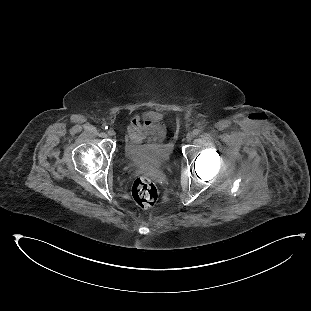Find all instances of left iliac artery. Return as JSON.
Segmentation results:
<instances>
[{"instance_id":"1","label":"left iliac artery","mask_w":311,"mask_h":311,"mask_svg":"<svg viewBox=\"0 0 311 311\" xmlns=\"http://www.w3.org/2000/svg\"><path fill=\"white\" fill-rule=\"evenodd\" d=\"M200 133V130L199 129H194V131H193V134L194 135H198Z\"/></svg>"}]
</instances>
